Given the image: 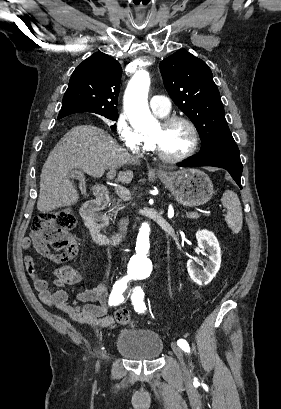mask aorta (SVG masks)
Returning <instances> with one entry per match:
<instances>
[{
  "mask_svg": "<svg viewBox=\"0 0 281 409\" xmlns=\"http://www.w3.org/2000/svg\"><path fill=\"white\" fill-rule=\"evenodd\" d=\"M150 77L148 72L140 70L130 83L124 101L125 112L132 127L142 133H147L157 125L148 107V91ZM142 231H149V225L144 223Z\"/></svg>",
  "mask_w": 281,
  "mask_h": 409,
  "instance_id": "762f6f07",
  "label": "aorta"
}]
</instances>
